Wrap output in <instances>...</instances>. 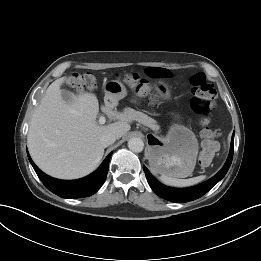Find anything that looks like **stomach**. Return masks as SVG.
I'll return each instance as SVG.
<instances>
[{
  "mask_svg": "<svg viewBox=\"0 0 261 261\" xmlns=\"http://www.w3.org/2000/svg\"><path fill=\"white\" fill-rule=\"evenodd\" d=\"M154 89L159 97H170L171 91L165 82L156 83ZM126 95L127 90L122 83L109 81L105 84V99L109 103L115 105ZM148 143V160L153 171L173 178L192 174L198 155V141L191 129L173 123L165 137L151 134Z\"/></svg>",
  "mask_w": 261,
  "mask_h": 261,
  "instance_id": "0dacf381",
  "label": "stomach"
}]
</instances>
